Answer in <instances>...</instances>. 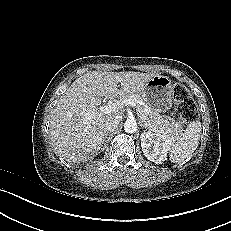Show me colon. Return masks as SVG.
Returning a JSON list of instances; mask_svg holds the SVG:
<instances>
[{
    "label": "colon",
    "instance_id": "obj_1",
    "mask_svg": "<svg viewBox=\"0 0 231 231\" xmlns=\"http://www.w3.org/2000/svg\"><path fill=\"white\" fill-rule=\"evenodd\" d=\"M173 98L181 120L190 123L198 117V110L189 90L181 84H175L172 90Z\"/></svg>",
    "mask_w": 231,
    "mask_h": 231
}]
</instances>
